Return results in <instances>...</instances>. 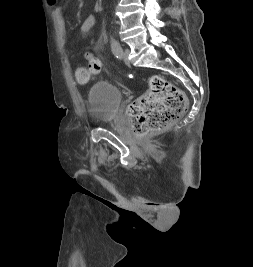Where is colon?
Instances as JSON below:
<instances>
[{
	"label": "colon",
	"instance_id": "5ec220e1",
	"mask_svg": "<svg viewBox=\"0 0 253 267\" xmlns=\"http://www.w3.org/2000/svg\"><path fill=\"white\" fill-rule=\"evenodd\" d=\"M88 68L78 67L75 71L79 82H87L90 74L102 71L101 61L91 52L85 53ZM187 108L184 92L160 76L149 79V89L129 107L133 132L145 136L162 130L178 119Z\"/></svg>",
	"mask_w": 253,
	"mask_h": 267
}]
</instances>
